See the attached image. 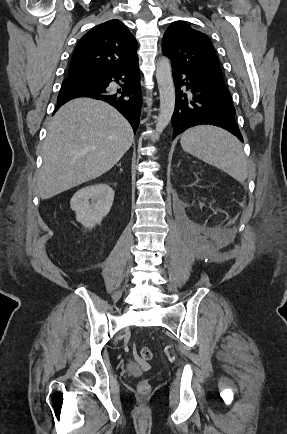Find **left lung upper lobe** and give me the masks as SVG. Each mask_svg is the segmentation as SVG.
Segmentation results:
<instances>
[{"mask_svg": "<svg viewBox=\"0 0 287 434\" xmlns=\"http://www.w3.org/2000/svg\"><path fill=\"white\" fill-rule=\"evenodd\" d=\"M162 52L172 65L201 71L224 83L215 49L204 33L196 31L183 21L170 24L162 40Z\"/></svg>", "mask_w": 287, "mask_h": 434, "instance_id": "left-lung-upper-lobe-1", "label": "left lung upper lobe"}]
</instances>
